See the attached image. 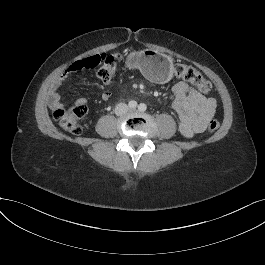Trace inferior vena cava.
I'll list each match as a JSON object with an SVG mask.
<instances>
[{
    "mask_svg": "<svg viewBox=\"0 0 265 265\" xmlns=\"http://www.w3.org/2000/svg\"><path fill=\"white\" fill-rule=\"evenodd\" d=\"M129 110V107L127 104L125 103H119L117 104L116 108H115V113L117 116H122L124 114H126Z\"/></svg>",
    "mask_w": 265,
    "mask_h": 265,
    "instance_id": "602c4592",
    "label": "inferior vena cava"
}]
</instances>
